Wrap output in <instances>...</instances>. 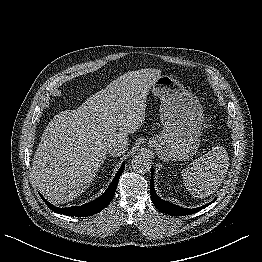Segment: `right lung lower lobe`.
I'll return each instance as SVG.
<instances>
[{
    "label": "right lung lower lobe",
    "mask_w": 262,
    "mask_h": 262,
    "mask_svg": "<svg viewBox=\"0 0 262 262\" xmlns=\"http://www.w3.org/2000/svg\"><path fill=\"white\" fill-rule=\"evenodd\" d=\"M124 166L125 164L121 165L120 169L118 170L115 178L111 182L108 189L99 198L87 204L81 206L68 207V208H59L47 202L41 194L40 196L45 201L47 206L54 212L64 214L67 216H76V217H86V216L94 215L96 213H99L101 210H103L112 200L118 185L119 178L123 172Z\"/></svg>",
    "instance_id": "obj_1"
}]
</instances>
